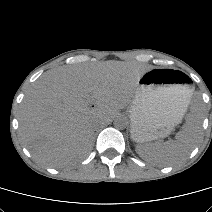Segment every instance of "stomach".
Returning <instances> with one entry per match:
<instances>
[{"label":"stomach","mask_w":212,"mask_h":212,"mask_svg":"<svg viewBox=\"0 0 212 212\" xmlns=\"http://www.w3.org/2000/svg\"><path fill=\"white\" fill-rule=\"evenodd\" d=\"M193 94L181 71L155 68L138 80L130 108L131 137L143 143L166 137L184 116Z\"/></svg>","instance_id":"1"}]
</instances>
